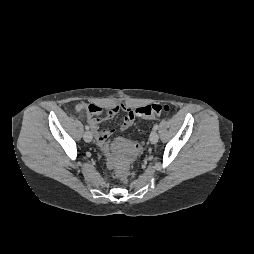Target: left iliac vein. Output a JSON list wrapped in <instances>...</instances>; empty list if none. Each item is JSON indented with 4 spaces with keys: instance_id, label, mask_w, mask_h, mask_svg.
Segmentation results:
<instances>
[{
    "instance_id": "1",
    "label": "left iliac vein",
    "mask_w": 254,
    "mask_h": 254,
    "mask_svg": "<svg viewBox=\"0 0 254 254\" xmlns=\"http://www.w3.org/2000/svg\"><path fill=\"white\" fill-rule=\"evenodd\" d=\"M149 139H150V142H151L152 144H156V143L158 142V139H159L158 133H157L155 130L152 131V132L150 133Z\"/></svg>"
}]
</instances>
